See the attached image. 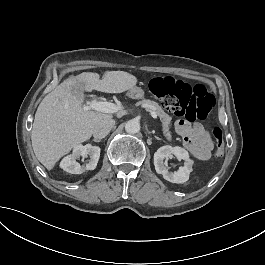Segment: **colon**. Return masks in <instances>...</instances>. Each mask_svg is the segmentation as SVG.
<instances>
[{
  "instance_id": "1",
  "label": "colon",
  "mask_w": 265,
  "mask_h": 265,
  "mask_svg": "<svg viewBox=\"0 0 265 265\" xmlns=\"http://www.w3.org/2000/svg\"><path fill=\"white\" fill-rule=\"evenodd\" d=\"M149 90L156 99L175 115L191 121L204 120L213 107L215 95L205 85L192 86L170 75L154 76L149 82ZM215 140V156L221 157L225 141L221 128L211 130Z\"/></svg>"
}]
</instances>
